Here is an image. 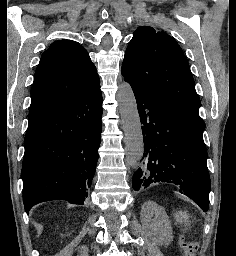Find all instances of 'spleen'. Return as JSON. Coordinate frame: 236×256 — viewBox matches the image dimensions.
Returning a JSON list of instances; mask_svg holds the SVG:
<instances>
[{"label": "spleen", "mask_w": 236, "mask_h": 256, "mask_svg": "<svg viewBox=\"0 0 236 256\" xmlns=\"http://www.w3.org/2000/svg\"><path fill=\"white\" fill-rule=\"evenodd\" d=\"M188 218H190V216L186 214V212H178V214H176L177 222H188Z\"/></svg>", "instance_id": "spleen-1"}]
</instances>
